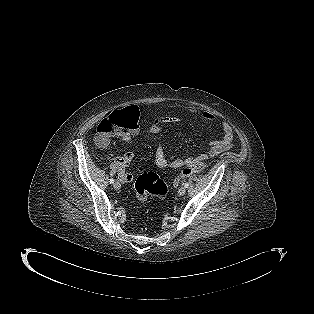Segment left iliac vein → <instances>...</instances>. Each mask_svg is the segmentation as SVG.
Wrapping results in <instances>:
<instances>
[{"instance_id": "left-iliac-vein-1", "label": "left iliac vein", "mask_w": 314, "mask_h": 314, "mask_svg": "<svg viewBox=\"0 0 314 314\" xmlns=\"http://www.w3.org/2000/svg\"><path fill=\"white\" fill-rule=\"evenodd\" d=\"M186 193V188L185 187H180L178 190V194L180 196L184 195Z\"/></svg>"}]
</instances>
